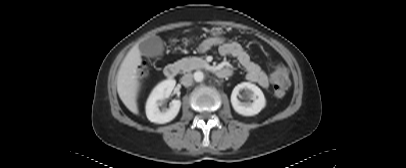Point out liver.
<instances>
[{
	"mask_svg": "<svg viewBox=\"0 0 406 168\" xmlns=\"http://www.w3.org/2000/svg\"><path fill=\"white\" fill-rule=\"evenodd\" d=\"M141 54L138 46H134L125 56L117 73V92L124 105L134 114H138L137 96L140 81L137 77L141 64Z\"/></svg>",
	"mask_w": 406,
	"mask_h": 168,
	"instance_id": "6515ba94",
	"label": "liver"
}]
</instances>
